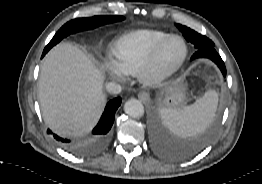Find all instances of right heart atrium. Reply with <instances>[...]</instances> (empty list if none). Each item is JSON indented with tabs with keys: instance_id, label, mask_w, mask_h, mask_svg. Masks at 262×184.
<instances>
[{
	"instance_id": "right-heart-atrium-1",
	"label": "right heart atrium",
	"mask_w": 262,
	"mask_h": 184,
	"mask_svg": "<svg viewBox=\"0 0 262 184\" xmlns=\"http://www.w3.org/2000/svg\"><path fill=\"white\" fill-rule=\"evenodd\" d=\"M103 69L112 79L121 81L125 78V72L112 60L106 61L103 64Z\"/></svg>"
}]
</instances>
